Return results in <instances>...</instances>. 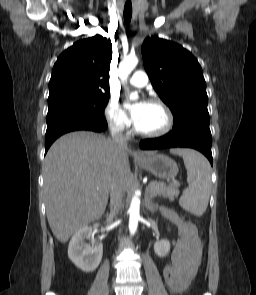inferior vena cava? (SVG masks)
<instances>
[{
  "label": "inferior vena cava",
  "instance_id": "obj_1",
  "mask_svg": "<svg viewBox=\"0 0 256 295\" xmlns=\"http://www.w3.org/2000/svg\"><path fill=\"white\" fill-rule=\"evenodd\" d=\"M124 127L123 125L112 124L110 126V132L113 139V142L117 145L118 148H127V140L123 134ZM113 179L110 184V208H111V217H114L115 214L119 211L122 198L124 195V189L121 181L119 180V172L113 171Z\"/></svg>",
  "mask_w": 256,
  "mask_h": 295
}]
</instances>
